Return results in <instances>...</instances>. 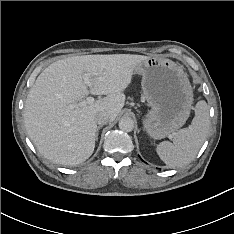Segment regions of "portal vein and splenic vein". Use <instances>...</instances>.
Wrapping results in <instances>:
<instances>
[{
  "label": "portal vein and splenic vein",
  "mask_w": 234,
  "mask_h": 234,
  "mask_svg": "<svg viewBox=\"0 0 234 234\" xmlns=\"http://www.w3.org/2000/svg\"><path fill=\"white\" fill-rule=\"evenodd\" d=\"M83 80L84 83L88 86V87H92V82L90 80V75L89 74H84L83 75ZM94 102V98L93 97H87L86 100H84L83 102L79 103V104H70L68 107L69 109H74L77 106H81L87 103H93Z\"/></svg>",
  "instance_id": "1"
}]
</instances>
